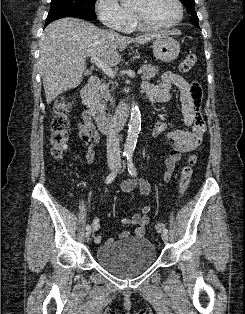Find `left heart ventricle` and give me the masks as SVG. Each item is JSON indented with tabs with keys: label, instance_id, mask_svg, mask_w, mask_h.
I'll list each match as a JSON object with an SVG mask.
<instances>
[{
	"label": "left heart ventricle",
	"instance_id": "b2bd125f",
	"mask_svg": "<svg viewBox=\"0 0 245 314\" xmlns=\"http://www.w3.org/2000/svg\"><path fill=\"white\" fill-rule=\"evenodd\" d=\"M130 7L142 18L154 23H169L178 17L174 0H133Z\"/></svg>",
	"mask_w": 245,
	"mask_h": 314
}]
</instances>
